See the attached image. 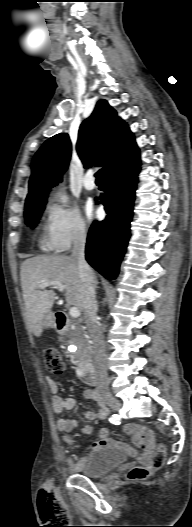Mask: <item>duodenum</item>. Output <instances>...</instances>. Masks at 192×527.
Returning a JSON list of instances; mask_svg holds the SVG:
<instances>
[{"mask_svg": "<svg viewBox=\"0 0 192 527\" xmlns=\"http://www.w3.org/2000/svg\"><path fill=\"white\" fill-rule=\"evenodd\" d=\"M56 328L59 332L64 333L68 328L67 317L63 312H56L55 314ZM77 374L79 378L89 385H95L97 380L92 366L87 362H80L77 366Z\"/></svg>", "mask_w": 192, "mask_h": 527, "instance_id": "duodenum-1", "label": "duodenum"}]
</instances>
